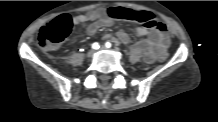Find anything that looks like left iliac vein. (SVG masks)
Segmentation results:
<instances>
[{"label":"left iliac vein","mask_w":218,"mask_h":122,"mask_svg":"<svg viewBox=\"0 0 218 122\" xmlns=\"http://www.w3.org/2000/svg\"><path fill=\"white\" fill-rule=\"evenodd\" d=\"M104 49H105V47H104V46L100 47V50H104Z\"/></svg>","instance_id":"4c4485c4"}]
</instances>
